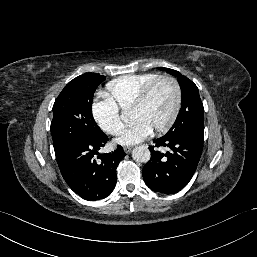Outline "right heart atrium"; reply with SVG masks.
Listing matches in <instances>:
<instances>
[{"mask_svg": "<svg viewBox=\"0 0 257 257\" xmlns=\"http://www.w3.org/2000/svg\"><path fill=\"white\" fill-rule=\"evenodd\" d=\"M106 103L108 105H110V107L113 109V111L115 112V120L110 123V124H107L105 122H102L98 117H97V114H96V110H95V107H93V118L95 120V122L97 123V125L99 126V128L109 134V135H115L119 132L120 128H121V121H120V118H119V110H118V107H116L108 98H106Z\"/></svg>", "mask_w": 257, "mask_h": 257, "instance_id": "right-heart-atrium-1", "label": "right heart atrium"}]
</instances>
